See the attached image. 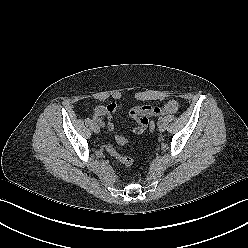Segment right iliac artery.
<instances>
[{"mask_svg": "<svg viewBox=\"0 0 248 248\" xmlns=\"http://www.w3.org/2000/svg\"><path fill=\"white\" fill-rule=\"evenodd\" d=\"M91 121L96 123L98 120L95 117H93Z\"/></svg>", "mask_w": 248, "mask_h": 248, "instance_id": "1", "label": "right iliac artery"}]
</instances>
